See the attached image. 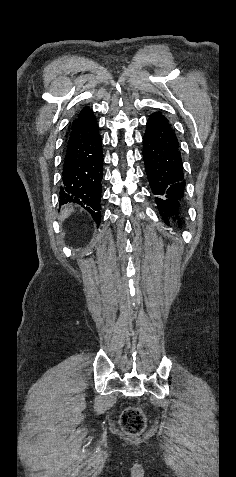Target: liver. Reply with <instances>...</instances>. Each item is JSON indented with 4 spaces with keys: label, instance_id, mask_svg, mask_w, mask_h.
Listing matches in <instances>:
<instances>
[{
    "label": "liver",
    "instance_id": "obj_1",
    "mask_svg": "<svg viewBox=\"0 0 236 477\" xmlns=\"http://www.w3.org/2000/svg\"><path fill=\"white\" fill-rule=\"evenodd\" d=\"M73 211L72 207H65L61 210L59 220L63 221L65 220Z\"/></svg>",
    "mask_w": 236,
    "mask_h": 477
}]
</instances>
